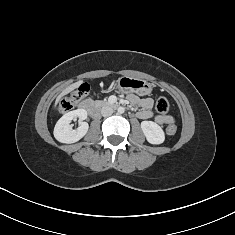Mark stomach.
Wrapping results in <instances>:
<instances>
[{"label":"stomach","instance_id":"stomach-1","mask_svg":"<svg viewBox=\"0 0 235 235\" xmlns=\"http://www.w3.org/2000/svg\"><path fill=\"white\" fill-rule=\"evenodd\" d=\"M117 88L123 93H135L139 96L149 95L153 86L146 80L122 76L116 81Z\"/></svg>","mask_w":235,"mask_h":235}]
</instances>
